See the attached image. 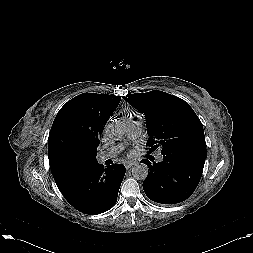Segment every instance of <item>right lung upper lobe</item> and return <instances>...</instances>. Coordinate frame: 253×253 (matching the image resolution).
<instances>
[{
    "label": "right lung upper lobe",
    "mask_w": 253,
    "mask_h": 253,
    "mask_svg": "<svg viewBox=\"0 0 253 253\" xmlns=\"http://www.w3.org/2000/svg\"><path fill=\"white\" fill-rule=\"evenodd\" d=\"M120 99L83 93L59 110L48 138V158L55 180L91 162L104 125Z\"/></svg>",
    "instance_id": "obj_1"
}]
</instances>
